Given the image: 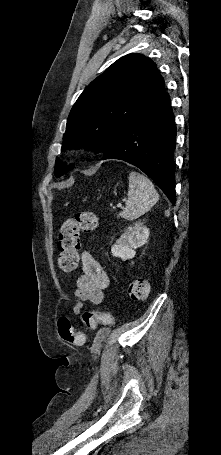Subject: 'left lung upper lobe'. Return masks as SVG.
Masks as SVG:
<instances>
[{
  "label": "left lung upper lobe",
  "mask_w": 221,
  "mask_h": 455,
  "mask_svg": "<svg viewBox=\"0 0 221 455\" xmlns=\"http://www.w3.org/2000/svg\"><path fill=\"white\" fill-rule=\"evenodd\" d=\"M164 93V80L152 60L141 54L121 57L79 96L67 120L62 150L106 151ZM70 168L57 159L54 173L60 177Z\"/></svg>",
  "instance_id": "5c2ea615"
}]
</instances>
